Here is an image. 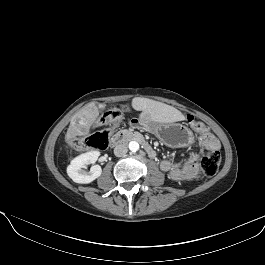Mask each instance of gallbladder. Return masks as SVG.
I'll list each match as a JSON object with an SVG mask.
<instances>
[{
	"mask_svg": "<svg viewBox=\"0 0 265 265\" xmlns=\"http://www.w3.org/2000/svg\"><path fill=\"white\" fill-rule=\"evenodd\" d=\"M101 108H102V109H105V105H104V104H101Z\"/></svg>",
	"mask_w": 265,
	"mask_h": 265,
	"instance_id": "bac80fb5",
	"label": "gallbladder"
}]
</instances>
